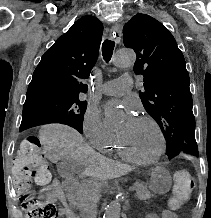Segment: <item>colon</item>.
Segmentation results:
<instances>
[{"instance_id":"colon-1","label":"colon","mask_w":211,"mask_h":218,"mask_svg":"<svg viewBox=\"0 0 211 218\" xmlns=\"http://www.w3.org/2000/svg\"><path fill=\"white\" fill-rule=\"evenodd\" d=\"M12 176L15 187L26 190L32 182L45 188L51 182L48 161L43 151L42 143L36 136L27 137L14 161ZM194 188V179L187 170H178L174 174L172 206L178 207L185 203ZM27 218H57L54 204L36 199L27 194L21 196Z\"/></svg>"}]
</instances>
